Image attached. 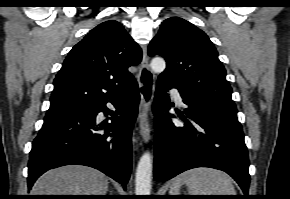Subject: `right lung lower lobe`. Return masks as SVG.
<instances>
[{
    "mask_svg": "<svg viewBox=\"0 0 290 199\" xmlns=\"http://www.w3.org/2000/svg\"><path fill=\"white\" fill-rule=\"evenodd\" d=\"M117 108L111 123L96 122L107 114L106 103ZM139 103L135 81L118 96L92 107L44 118L29 157L28 188L49 169L78 164L96 168L125 188L132 166L131 134ZM104 130V133L99 131Z\"/></svg>",
    "mask_w": 290,
    "mask_h": 199,
    "instance_id": "right-lung-lower-lobe-1",
    "label": "right lung lower lobe"
}]
</instances>
